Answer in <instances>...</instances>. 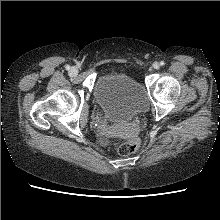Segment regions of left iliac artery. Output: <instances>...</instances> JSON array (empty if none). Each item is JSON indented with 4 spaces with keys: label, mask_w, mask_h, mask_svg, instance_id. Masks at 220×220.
<instances>
[{
    "label": "left iliac artery",
    "mask_w": 220,
    "mask_h": 220,
    "mask_svg": "<svg viewBox=\"0 0 220 220\" xmlns=\"http://www.w3.org/2000/svg\"><path fill=\"white\" fill-rule=\"evenodd\" d=\"M160 65H161V66H164V65H165V62H164V61H161V62H160Z\"/></svg>",
    "instance_id": "1"
}]
</instances>
